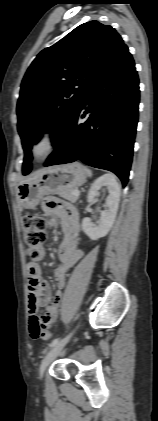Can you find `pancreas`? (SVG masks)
<instances>
[{
    "mask_svg": "<svg viewBox=\"0 0 158 421\" xmlns=\"http://www.w3.org/2000/svg\"><path fill=\"white\" fill-rule=\"evenodd\" d=\"M74 191H75V189H69V190L60 192V196L63 197V198H65V199H67V200H69L70 202L74 203L79 198L78 196H75L73 194Z\"/></svg>",
    "mask_w": 158,
    "mask_h": 421,
    "instance_id": "pancreas-1",
    "label": "pancreas"
}]
</instances>
